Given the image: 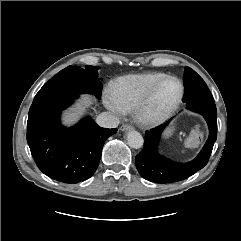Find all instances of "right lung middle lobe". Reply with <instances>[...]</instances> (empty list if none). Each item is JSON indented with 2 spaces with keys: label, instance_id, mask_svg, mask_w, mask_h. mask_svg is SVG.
I'll return each instance as SVG.
<instances>
[{
  "label": "right lung middle lobe",
  "instance_id": "obj_1",
  "mask_svg": "<svg viewBox=\"0 0 241 241\" xmlns=\"http://www.w3.org/2000/svg\"><path fill=\"white\" fill-rule=\"evenodd\" d=\"M97 66H68L58 72L46 82L36 94L33 103H41L48 100L75 96L83 93H92L100 99L102 85L98 78Z\"/></svg>",
  "mask_w": 241,
  "mask_h": 241
}]
</instances>
